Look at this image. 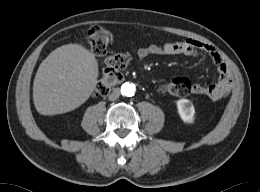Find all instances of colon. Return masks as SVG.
Wrapping results in <instances>:
<instances>
[{
	"instance_id": "1",
	"label": "colon",
	"mask_w": 260,
	"mask_h": 192,
	"mask_svg": "<svg viewBox=\"0 0 260 192\" xmlns=\"http://www.w3.org/2000/svg\"><path fill=\"white\" fill-rule=\"evenodd\" d=\"M112 34L99 25L92 26L87 33V41L91 50L97 55H103L111 43ZM129 57L125 53L108 56L104 61V72L96 84V96L107 95L111 88L118 83L127 68ZM161 94L185 96L192 92V83L187 78L165 80L158 85Z\"/></svg>"
}]
</instances>
